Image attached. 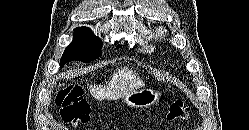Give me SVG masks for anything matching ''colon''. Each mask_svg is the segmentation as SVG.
Wrapping results in <instances>:
<instances>
[{"label": "colon", "mask_w": 249, "mask_h": 130, "mask_svg": "<svg viewBox=\"0 0 249 130\" xmlns=\"http://www.w3.org/2000/svg\"><path fill=\"white\" fill-rule=\"evenodd\" d=\"M55 101L65 122L77 125L90 120V107L83 97V90L80 86L69 85L60 89L56 94ZM188 115L189 108L183 101L177 100L169 108L168 119L185 120Z\"/></svg>", "instance_id": "1"}]
</instances>
